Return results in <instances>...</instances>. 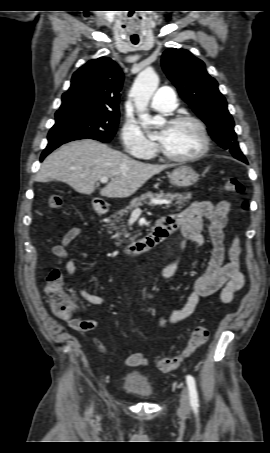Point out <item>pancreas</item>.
Returning a JSON list of instances; mask_svg holds the SVG:
<instances>
[{
  "instance_id": "cf45deb5",
  "label": "pancreas",
  "mask_w": 270,
  "mask_h": 453,
  "mask_svg": "<svg viewBox=\"0 0 270 453\" xmlns=\"http://www.w3.org/2000/svg\"><path fill=\"white\" fill-rule=\"evenodd\" d=\"M159 199V200H169L171 201V204L167 205L166 207L169 208L171 206L177 205L178 209H181L183 206H185L186 203L189 202L191 199V194L190 193H152V192H147L146 194L141 195L138 198H134L129 206H126L124 209L118 210L115 212L113 215L110 216V227L113 228L114 230L117 231V234L115 238L120 239L121 238V232H124L123 237L124 238H129L130 233L127 232L126 228H124V216H127L133 209L138 208L142 206L143 204H148L153 206L154 204L151 202H147V199ZM131 240L134 239V237L130 238Z\"/></svg>"
}]
</instances>
